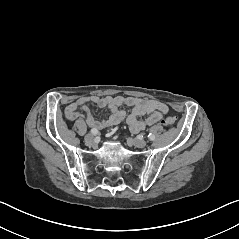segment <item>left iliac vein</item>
Here are the masks:
<instances>
[{
	"label": "left iliac vein",
	"instance_id": "obj_1",
	"mask_svg": "<svg viewBox=\"0 0 239 239\" xmlns=\"http://www.w3.org/2000/svg\"><path fill=\"white\" fill-rule=\"evenodd\" d=\"M132 143L137 148H143L147 144V142L145 140H142V139H133Z\"/></svg>",
	"mask_w": 239,
	"mask_h": 239
}]
</instances>
